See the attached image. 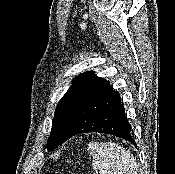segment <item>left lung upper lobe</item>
Listing matches in <instances>:
<instances>
[{
    "mask_svg": "<svg viewBox=\"0 0 175 174\" xmlns=\"http://www.w3.org/2000/svg\"><path fill=\"white\" fill-rule=\"evenodd\" d=\"M104 81V78L97 77L93 71L82 73L73 80V85L55 110L52 130L47 142L48 151L63 144V135L76 105L87 93Z\"/></svg>",
    "mask_w": 175,
    "mask_h": 174,
    "instance_id": "1",
    "label": "left lung upper lobe"
}]
</instances>
